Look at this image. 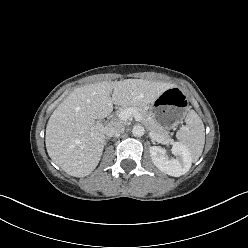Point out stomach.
<instances>
[{
    "mask_svg": "<svg viewBox=\"0 0 248 248\" xmlns=\"http://www.w3.org/2000/svg\"><path fill=\"white\" fill-rule=\"evenodd\" d=\"M188 101L183 90L173 86L159 95L150 106V116L165 129L175 128L185 117Z\"/></svg>",
    "mask_w": 248,
    "mask_h": 248,
    "instance_id": "obj_1",
    "label": "stomach"
}]
</instances>
